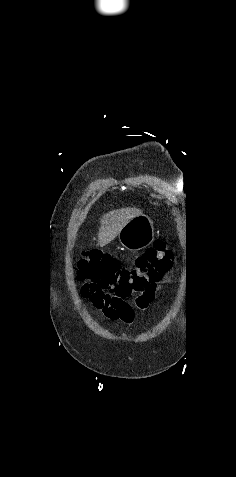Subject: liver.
I'll use <instances>...</instances> for the list:
<instances>
[{"instance_id": "obj_1", "label": "liver", "mask_w": 236, "mask_h": 477, "mask_svg": "<svg viewBox=\"0 0 236 477\" xmlns=\"http://www.w3.org/2000/svg\"><path fill=\"white\" fill-rule=\"evenodd\" d=\"M137 208H121L104 214L100 219L101 226L98 233V246H105L119 235L123 227L132 218L141 215Z\"/></svg>"}]
</instances>
